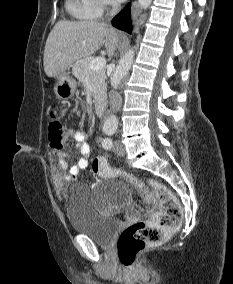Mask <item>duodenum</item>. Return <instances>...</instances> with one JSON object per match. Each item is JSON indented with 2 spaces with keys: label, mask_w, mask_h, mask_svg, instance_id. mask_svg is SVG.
Instances as JSON below:
<instances>
[{
  "label": "duodenum",
  "mask_w": 233,
  "mask_h": 284,
  "mask_svg": "<svg viewBox=\"0 0 233 284\" xmlns=\"http://www.w3.org/2000/svg\"><path fill=\"white\" fill-rule=\"evenodd\" d=\"M105 110V104L104 103H99L95 106V113L98 117H101L104 113Z\"/></svg>",
  "instance_id": "410a0bca"
}]
</instances>
